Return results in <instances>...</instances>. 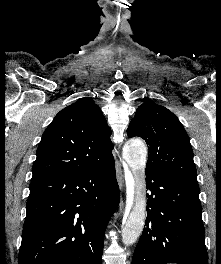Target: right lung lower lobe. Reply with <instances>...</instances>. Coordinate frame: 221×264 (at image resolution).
I'll return each mask as SVG.
<instances>
[{
    "label": "right lung lower lobe",
    "mask_w": 221,
    "mask_h": 264,
    "mask_svg": "<svg viewBox=\"0 0 221 264\" xmlns=\"http://www.w3.org/2000/svg\"><path fill=\"white\" fill-rule=\"evenodd\" d=\"M19 264H102L108 221L119 204L114 158L31 180Z\"/></svg>",
    "instance_id": "right-lung-lower-lobe-1"
}]
</instances>
